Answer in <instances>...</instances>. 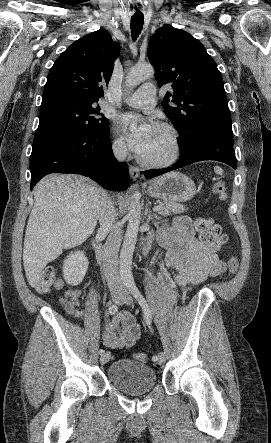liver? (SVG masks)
Instances as JSON below:
<instances>
[{"label":"liver","instance_id":"liver-1","mask_svg":"<svg viewBox=\"0 0 271 443\" xmlns=\"http://www.w3.org/2000/svg\"><path fill=\"white\" fill-rule=\"evenodd\" d=\"M34 206L27 223L23 265L31 287H36L49 261L63 249L81 245L93 233L104 190L76 174L46 176L36 184Z\"/></svg>","mask_w":271,"mask_h":443}]
</instances>
